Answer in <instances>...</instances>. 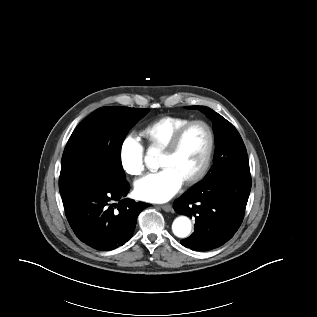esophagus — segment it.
I'll list each match as a JSON object with an SVG mask.
<instances>
[{
    "instance_id": "esophagus-1",
    "label": "esophagus",
    "mask_w": 317,
    "mask_h": 317,
    "mask_svg": "<svg viewBox=\"0 0 317 317\" xmlns=\"http://www.w3.org/2000/svg\"><path fill=\"white\" fill-rule=\"evenodd\" d=\"M161 208L165 211V212H171L173 210L172 205L171 204H164L161 205Z\"/></svg>"
}]
</instances>
